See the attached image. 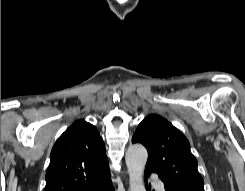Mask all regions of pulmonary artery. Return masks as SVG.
Segmentation results:
<instances>
[{
    "label": "pulmonary artery",
    "mask_w": 245,
    "mask_h": 191,
    "mask_svg": "<svg viewBox=\"0 0 245 191\" xmlns=\"http://www.w3.org/2000/svg\"><path fill=\"white\" fill-rule=\"evenodd\" d=\"M153 184L157 191H165L164 184L162 181L153 178Z\"/></svg>",
    "instance_id": "obj_1"
}]
</instances>
